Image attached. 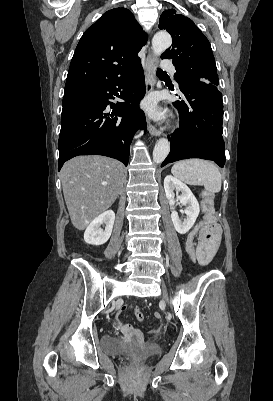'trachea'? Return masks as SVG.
I'll return each instance as SVG.
<instances>
[{"mask_svg": "<svg viewBox=\"0 0 273 401\" xmlns=\"http://www.w3.org/2000/svg\"><path fill=\"white\" fill-rule=\"evenodd\" d=\"M160 73H165V72H163V70H161L160 68H158V69H157V74H160Z\"/></svg>", "mask_w": 273, "mask_h": 401, "instance_id": "3493384b", "label": "trachea"}]
</instances>
